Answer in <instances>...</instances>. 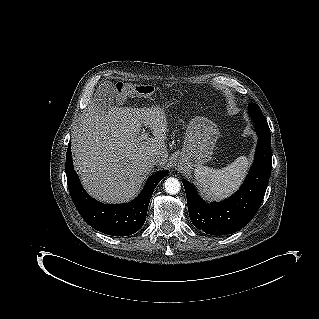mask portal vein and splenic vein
Segmentation results:
<instances>
[{
	"label": "portal vein and splenic vein",
	"mask_w": 319,
	"mask_h": 319,
	"mask_svg": "<svg viewBox=\"0 0 319 319\" xmlns=\"http://www.w3.org/2000/svg\"><path fill=\"white\" fill-rule=\"evenodd\" d=\"M147 137H148V133H143V134L138 138V140H139V141H144L145 139H147Z\"/></svg>",
	"instance_id": "portal-vein-and-splenic-vein-1"
}]
</instances>
